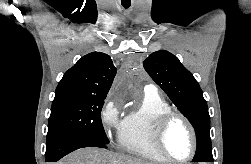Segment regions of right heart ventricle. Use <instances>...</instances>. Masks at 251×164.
<instances>
[{
	"mask_svg": "<svg viewBox=\"0 0 251 164\" xmlns=\"http://www.w3.org/2000/svg\"><path fill=\"white\" fill-rule=\"evenodd\" d=\"M172 110L158 94H144L140 105L123 119L118 134L119 147L132 155L154 162H167L154 144V127L157 119Z\"/></svg>",
	"mask_w": 251,
	"mask_h": 164,
	"instance_id": "right-heart-ventricle-1",
	"label": "right heart ventricle"
}]
</instances>
